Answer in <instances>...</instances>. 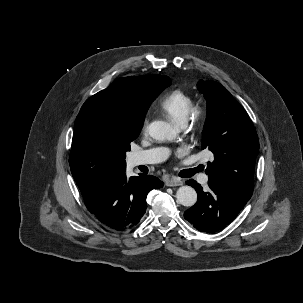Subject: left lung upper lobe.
<instances>
[{
  "label": "left lung upper lobe",
  "mask_w": 303,
  "mask_h": 303,
  "mask_svg": "<svg viewBox=\"0 0 303 303\" xmlns=\"http://www.w3.org/2000/svg\"><path fill=\"white\" fill-rule=\"evenodd\" d=\"M207 100V118L202 149L214 154L206 174L251 197L259 142L256 130L244 108L218 82H198Z\"/></svg>",
  "instance_id": "1"
}]
</instances>
